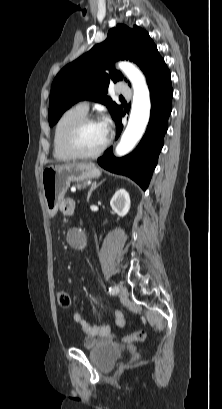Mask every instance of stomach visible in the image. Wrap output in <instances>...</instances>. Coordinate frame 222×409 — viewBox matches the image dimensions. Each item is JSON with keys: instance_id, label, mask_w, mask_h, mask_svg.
<instances>
[{"instance_id": "0dacf381", "label": "stomach", "mask_w": 222, "mask_h": 409, "mask_svg": "<svg viewBox=\"0 0 222 409\" xmlns=\"http://www.w3.org/2000/svg\"><path fill=\"white\" fill-rule=\"evenodd\" d=\"M100 176V170L91 163H72L48 166L42 172V189L49 216L54 217L72 181L81 182Z\"/></svg>"}]
</instances>
